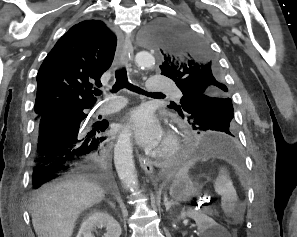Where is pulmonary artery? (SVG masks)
<instances>
[{
	"label": "pulmonary artery",
	"instance_id": "e3ab8cb5",
	"mask_svg": "<svg viewBox=\"0 0 297 237\" xmlns=\"http://www.w3.org/2000/svg\"><path fill=\"white\" fill-rule=\"evenodd\" d=\"M146 89L151 92L167 91L173 89V84L163 76H153L148 80ZM125 105L124 100L116 99L99 106L96 111L99 114H109L120 110Z\"/></svg>",
	"mask_w": 297,
	"mask_h": 237
}]
</instances>
